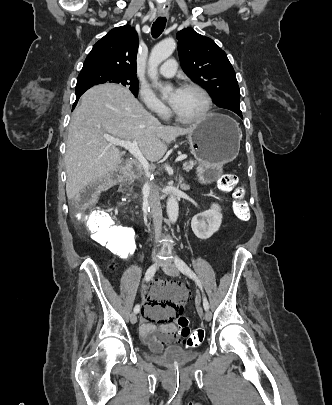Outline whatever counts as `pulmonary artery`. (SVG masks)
<instances>
[{"mask_svg":"<svg viewBox=\"0 0 332 405\" xmlns=\"http://www.w3.org/2000/svg\"><path fill=\"white\" fill-rule=\"evenodd\" d=\"M177 71V63L174 59L167 60L160 68L159 74L163 77H172Z\"/></svg>","mask_w":332,"mask_h":405,"instance_id":"pulmonary-artery-1","label":"pulmonary artery"}]
</instances>
